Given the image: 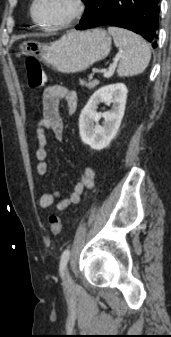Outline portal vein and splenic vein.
Instances as JSON below:
<instances>
[{
  "mask_svg": "<svg viewBox=\"0 0 171 337\" xmlns=\"http://www.w3.org/2000/svg\"><path fill=\"white\" fill-rule=\"evenodd\" d=\"M118 59H119V57H116L114 59V62H113L112 65H110L108 71L104 72V74H103L104 77L108 78V77H111L113 75V73L115 71V68L117 66V63H118ZM93 71L95 72L96 70L94 69Z\"/></svg>",
  "mask_w": 171,
  "mask_h": 337,
  "instance_id": "18ae733b",
  "label": "portal vein and splenic vein"
}]
</instances>
